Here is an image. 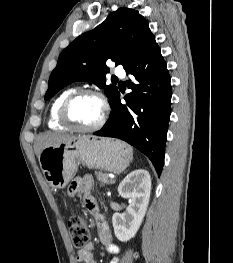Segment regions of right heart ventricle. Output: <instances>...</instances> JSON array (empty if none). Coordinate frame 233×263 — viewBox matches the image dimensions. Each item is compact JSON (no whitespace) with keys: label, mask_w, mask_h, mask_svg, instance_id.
I'll return each mask as SVG.
<instances>
[{"label":"right heart ventricle","mask_w":233,"mask_h":263,"mask_svg":"<svg viewBox=\"0 0 233 263\" xmlns=\"http://www.w3.org/2000/svg\"><path fill=\"white\" fill-rule=\"evenodd\" d=\"M76 90L74 88H68L60 92L52 101L49 114H48V126L52 130H65L67 127L61 123L59 119V110L62 102Z\"/></svg>","instance_id":"obj_1"}]
</instances>
